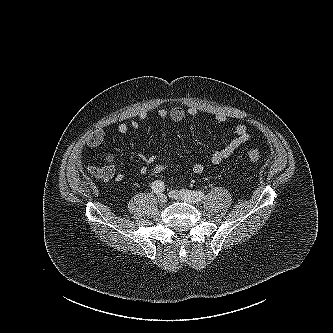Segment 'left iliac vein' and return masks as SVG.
<instances>
[{"label": "left iliac vein", "mask_w": 333, "mask_h": 333, "mask_svg": "<svg viewBox=\"0 0 333 333\" xmlns=\"http://www.w3.org/2000/svg\"><path fill=\"white\" fill-rule=\"evenodd\" d=\"M169 197L175 200H182L188 203H194L182 191L172 190L168 193Z\"/></svg>", "instance_id": "obj_1"}]
</instances>
